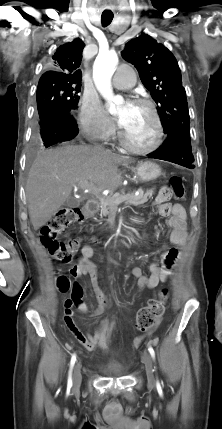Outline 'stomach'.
<instances>
[{
    "label": "stomach",
    "mask_w": 222,
    "mask_h": 429,
    "mask_svg": "<svg viewBox=\"0 0 222 429\" xmlns=\"http://www.w3.org/2000/svg\"><path fill=\"white\" fill-rule=\"evenodd\" d=\"M136 182H149L157 179L162 170L160 166L151 161L141 162L135 168Z\"/></svg>",
    "instance_id": "0dacf381"
}]
</instances>
